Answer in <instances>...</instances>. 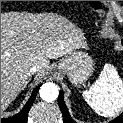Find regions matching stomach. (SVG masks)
<instances>
[{"label":"stomach","instance_id":"1","mask_svg":"<svg viewBox=\"0 0 123 123\" xmlns=\"http://www.w3.org/2000/svg\"><path fill=\"white\" fill-rule=\"evenodd\" d=\"M93 66L94 62L86 52L75 50L58 63L57 69L65 72L70 82L78 86L88 80L94 70Z\"/></svg>","mask_w":123,"mask_h":123}]
</instances>
